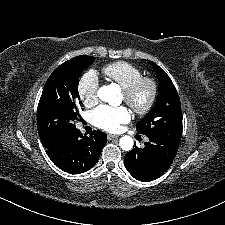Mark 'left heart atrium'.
<instances>
[{
    "label": "left heart atrium",
    "instance_id": "39dd6f15",
    "mask_svg": "<svg viewBox=\"0 0 225 225\" xmlns=\"http://www.w3.org/2000/svg\"><path fill=\"white\" fill-rule=\"evenodd\" d=\"M131 117L130 110L124 106L101 105L91 113L94 125L108 132L119 131L121 125L128 123Z\"/></svg>",
    "mask_w": 225,
    "mask_h": 225
}]
</instances>
